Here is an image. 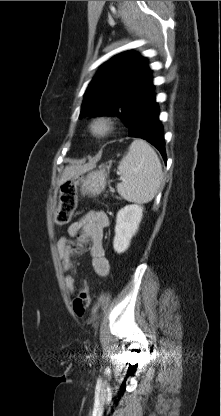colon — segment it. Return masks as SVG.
Returning <instances> with one entry per match:
<instances>
[{
	"label": "colon",
	"instance_id": "obj_1",
	"mask_svg": "<svg viewBox=\"0 0 221 416\" xmlns=\"http://www.w3.org/2000/svg\"><path fill=\"white\" fill-rule=\"evenodd\" d=\"M76 187V180H70L63 184L61 189L60 203L54 215L55 224L66 225L71 221L77 206ZM68 246L71 249V253L73 255L80 252V248L73 241H69ZM89 304V289L86 285H83L72 303L75 314L78 317L84 316L89 307Z\"/></svg>",
	"mask_w": 221,
	"mask_h": 416
}]
</instances>
